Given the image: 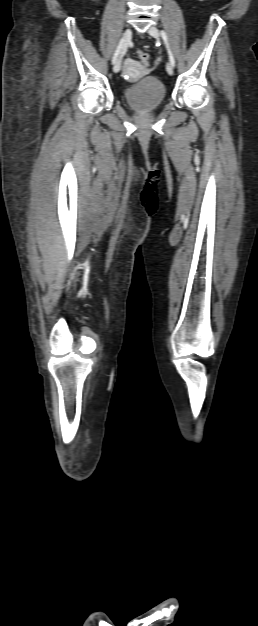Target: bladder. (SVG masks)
I'll return each instance as SVG.
<instances>
[{
	"instance_id": "obj_1",
	"label": "bladder",
	"mask_w": 258,
	"mask_h": 626,
	"mask_svg": "<svg viewBox=\"0 0 258 626\" xmlns=\"http://www.w3.org/2000/svg\"><path fill=\"white\" fill-rule=\"evenodd\" d=\"M166 95L165 86L155 77L147 76L124 89L126 103L134 110L149 111L159 106Z\"/></svg>"
}]
</instances>
